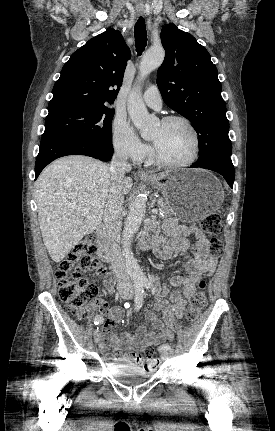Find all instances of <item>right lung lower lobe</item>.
Wrapping results in <instances>:
<instances>
[{"mask_svg": "<svg viewBox=\"0 0 275 431\" xmlns=\"http://www.w3.org/2000/svg\"><path fill=\"white\" fill-rule=\"evenodd\" d=\"M112 154V144L98 139L68 133L43 135L35 164V179L45 166L62 156L86 155L109 161Z\"/></svg>", "mask_w": 275, "mask_h": 431, "instance_id": "right-lung-lower-lobe-1", "label": "right lung lower lobe"}]
</instances>
